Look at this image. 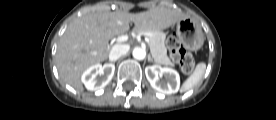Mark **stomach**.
Segmentation results:
<instances>
[{
  "label": "stomach",
  "instance_id": "stomach-1",
  "mask_svg": "<svg viewBox=\"0 0 276 120\" xmlns=\"http://www.w3.org/2000/svg\"><path fill=\"white\" fill-rule=\"evenodd\" d=\"M176 34L190 50H198L203 45L202 29L190 17H185L177 22Z\"/></svg>",
  "mask_w": 276,
  "mask_h": 120
}]
</instances>
